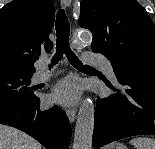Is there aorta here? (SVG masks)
I'll list each match as a JSON object with an SVG mask.
<instances>
[{
    "label": "aorta",
    "mask_w": 155,
    "mask_h": 149,
    "mask_svg": "<svg viewBox=\"0 0 155 149\" xmlns=\"http://www.w3.org/2000/svg\"><path fill=\"white\" fill-rule=\"evenodd\" d=\"M92 41V35L89 31L81 30L74 38L75 44L89 45ZM94 105L92 100L85 98L79 108L75 134L73 141V149H91L92 136L94 130Z\"/></svg>",
    "instance_id": "aorta-1"
}]
</instances>
